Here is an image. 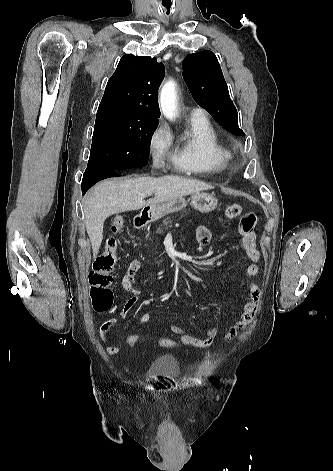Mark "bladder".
<instances>
[{
    "instance_id": "31cf9c89",
    "label": "bladder",
    "mask_w": 333,
    "mask_h": 471,
    "mask_svg": "<svg viewBox=\"0 0 333 471\" xmlns=\"http://www.w3.org/2000/svg\"><path fill=\"white\" fill-rule=\"evenodd\" d=\"M148 372L151 375L177 378L180 374L179 363L171 355H162L151 363Z\"/></svg>"
}]
</instances>
